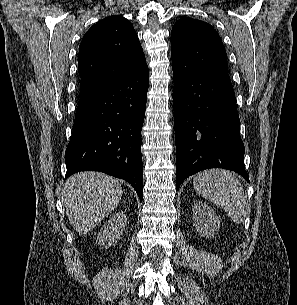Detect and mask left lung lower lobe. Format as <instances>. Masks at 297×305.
I'll return each instance as SVG.
<instances>
[{
    "label": "left lung lower lobe",
    "instance_id": "left-lung-lower-lobe-1",
    "mask_svg": "<svg viewBox=\"0 0 297 305\" xmlns=\"http://www.w3.org/2000/svg\"><path fill=\"white\" fill-rule=\"evenodd\" d=\"M176 189L208 168L237 172L249 182L235 93L228 74L193 75L172 62Z\"/></svg>",
    "mask_w": 297,
    "mask_h": 305
}]
</instances>
